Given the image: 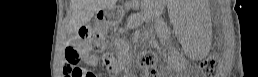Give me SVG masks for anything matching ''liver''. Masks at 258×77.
Returning <instances> with one entry per match:
<instances>
[{"label": "liver", "instance_id": "liver-1", "mask_svg": "<svg viewBox=\"0 0 258 77\" xmlns=\"http://www.w3.org/2000/svg\"><path fill=\"white\" fill-rule=\"evenodd\" d=\"M115 3L116 0H71V31L77 32L80 27L91 20L95 13L113 6Z\"/></svg>", "mask_w": 258, "mask_h": 77}]
</instances>
